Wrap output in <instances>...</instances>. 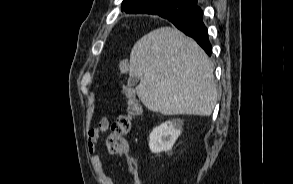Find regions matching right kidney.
I'll return each instance as SVG.
<instances>
[{"instance_id": "ca27d5eb", "label": "right kidney", "mask_w": 293, "mask_h": 184, "mask_svg": "<svg viewBox=\"0 0 293 184\" xmlns=\"http://www.w3.org/2000/svg\"><path fill=\"white\" fill-rule=\"evenodd\" d=\"M183 121L174 119L155 127L149 136V148L158 154L167 151L172 154V147L182 132Z\"/></svg>"}]
</instances>
